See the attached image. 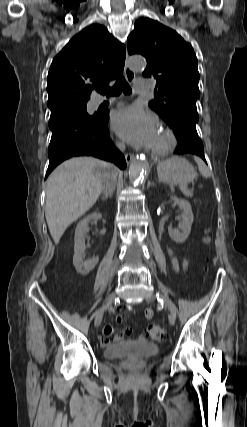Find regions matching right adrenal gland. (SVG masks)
Wrapping results in <instances>:
<instances>
[{"mask_svg":"<svg viewBox=\"0 0 247 427\" xmlns=\"http://www.w3.org/2000/svg\"><path fill=\"white\" fill-rule=\"evenodd\" d=\"M108 198V196L102 197V200H106Z\"/></svg>","mask_w":247,"mask_h":427,"instance_id":"obj_1","label":"right adrenal gland"}]
</instances>
